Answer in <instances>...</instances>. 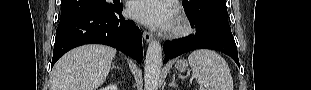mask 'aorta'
I'll return each instance as SVG.
<instances>
[{"mask_svg": "<svg viewBox=\"0 0 311 90\" xmlns=\"http://www.w3.org/2000/svg\"><path fill=\"white\" fill-rule=\"evenodd\" d=\"M162 67V47L152 40L147 48L144 68V90H158Z\"/></svg>", "mask_w": 311, "mask_h": 90, "instance_id": "762f6f07", "label": "aorta"}]
</instances>
